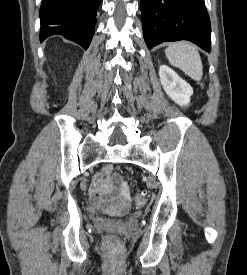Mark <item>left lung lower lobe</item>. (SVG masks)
Masks as SVG:
<instances>
[{
  "instance_id": "1",
  "label": "left lung lower lobe",
  "mask_w": 247,
  "mask_h": 275,
  "mask_svg": "<svg viewBox=\"0 0 247 275\" xmlns=\"http://www.w3.org/2000/svg\"><path fill=\"white\" fill-rule=\"evenodd\" d=\"M143 35L149 49L189 40L211 50V25L204 0H140Z\"/></svg>"
}]
</instances>
